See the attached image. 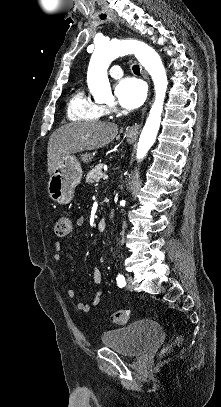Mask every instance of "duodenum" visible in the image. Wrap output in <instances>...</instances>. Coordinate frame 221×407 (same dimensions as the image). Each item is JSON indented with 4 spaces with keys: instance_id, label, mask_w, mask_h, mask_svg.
I'll return each mask as SVG.
<instances>
[{
    "instance_id": "duodenum-1",
    "label": "duodenum",
    "mask_w": 221,
    "mask_h": 407,
    "mask_svg": "<svg viewBox=\"0 0 221 407\" xmlns=\"http://www.w3.org/2000/svg\"><path fill=\"white\" fill-rule=\"evenodd\" d=\"M104 202L107 204L108 203V199L106 198L104 200ZM106 228V219L104 217H102L101 219L98 220L97 222V230L99 232H104Z\"/></svg>"
}]
</instances>
